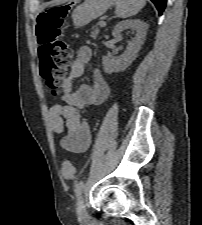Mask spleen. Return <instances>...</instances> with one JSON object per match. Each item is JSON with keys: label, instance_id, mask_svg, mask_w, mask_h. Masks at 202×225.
Masks as SVG:
<instances>
[{"label": "spleen", "instance_id": "spleen-1", "mask_svg": "<svg viewBox=\"0 0 202 225\" xmlns=\"http://www.w3.org/2000/svg\"><path fill=\"white\" fill-rule=\"evenodd\" d=\"M116 16L127 18L136 15L146 4V0H114Z\"/></svg>", "mask_w": 202, "mask_h": 225}]
</instances>
